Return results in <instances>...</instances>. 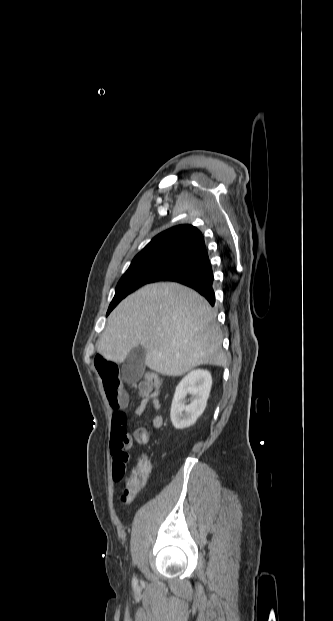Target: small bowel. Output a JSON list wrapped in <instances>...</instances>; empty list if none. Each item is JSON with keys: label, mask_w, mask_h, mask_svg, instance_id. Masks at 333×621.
<instances>
[{"label": "small bowel", "mask_w": 333, "mask_h": 621, "mask_svg": "<svg viewBox=\"0 0 333 621\" xmlns=\"http://www.w3.org/2000/svg\"><path fill=\"white\" fill-rule=\"evenodd\" d=\"M94 365L102 381L106 399L113 410L110 440L113 469L120 467L125 470L133 442L135 441L138 444L148 443L151 435L163 425V417L159 414V392L152 388L146 380L136 385L141 399L135 407V414H143L148 404H152L157 413L152 419L150 429L140 427L131 435L127 431V418L124 413V409L128 406L129 398L127 392L121 386L117 363L104 355L97 354L94 358Z\"/></svg>", "instance_id": "1"}]
</instances>
